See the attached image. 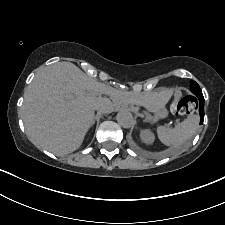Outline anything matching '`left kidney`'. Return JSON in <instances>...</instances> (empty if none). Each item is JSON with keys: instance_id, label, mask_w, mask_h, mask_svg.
Returning a JSON list of instances; mask_svg holds the SVG:
<instances>
[{"instance_id": "1", "label": "left kidney", "mask_w": 225, "mask_h": 225, "mask_svg": "<svg viewBox=\"0 0 225 225\" xmlns=\"http://www.w3.org/2000/svg\"><path fill=\"white\" fill-rule=\"evenodd\" d=\"M140 137L146 144H152L154 142V134L148 129L142 130Z\"/></svg>"}]
</instances>
